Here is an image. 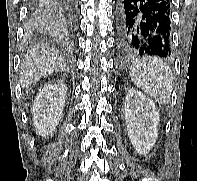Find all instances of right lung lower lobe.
<instances>
[{
    "label": "right lung lower lobe",
    "mask_w": 197,
    "mask_h": 181,
    "mask_svg": "<svg viewBox=\"0 0 197 181\" xmlns=\"http://www.w3.org/2000/svg\"><path fill=\"white\" fill-rule=\"evenodd\" d=\"M77 15L78 0H33L31 22L70 35Z\"/></svg>",
    "instance_id": "98d812e1"
}]
</instances>
